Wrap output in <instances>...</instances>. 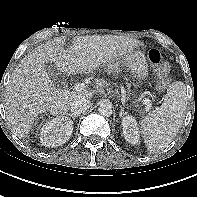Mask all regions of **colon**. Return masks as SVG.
I'll return each instance as SVG.
<instances>
[{
    "label": "colon",
    "instance_id": "colon-1",
    "mask_svg": "<svg viewBox=\"0 0 197 197\" xmlns=\"http://www.w3.org/2000/svg\"><path fill=\"white\" fill-rule=\"evenodd\" d=\"M148 59L153 65L155 73L157 75L158 88H166L170 81V68L166 58L158 49H151L148 52Z\"/></svg>",
    "mask_w": 197,
    "mask_h": 197
}]
</instances>
